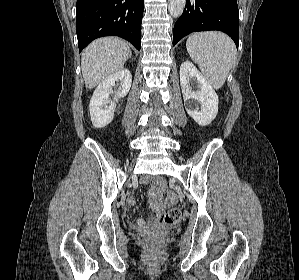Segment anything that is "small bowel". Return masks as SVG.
Listing matches in <instances>:
<instances>
[{
	"instance_id": "obj_1",
	"label": "small bowel",
	"mask_w": 299,
	"mask_h": 280,
	"mask_svg": "<svg viewBox=\"0 0 299 280\" xmlns=\"http://www.w3.org/2000/svg\"><path fill=\"white\" fill-rule=\"evenodd\" d=\"M145 182H148V179L145 180ZM165 186L164 181L161 178L155 179V186L149 189L148 191V198L151 205V208L155 211H161L166 205V201L163 199L161 192L159 191L158 187L163 188ZM174 198L170 197L169 201H173ZM128 202L130 204L134 203V200L132 198H128Z\"/></svg>"
}]
</instances>
